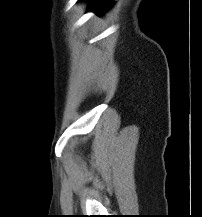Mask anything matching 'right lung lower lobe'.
Segmentation results:
<instances>
[{
	"label": "right lung lower lobe",
	"instance_id": "1",
	"mask_svg": "<svg viewBox=\"0 0 202 217\" xmlns=\"http://www.w3.org/2000/svg\"><path fill=\"white\" fill-rule=\"evenodd\" d=\"M94 3L90 7L89 10L95 7L94 12L96 14H101L103 13L112 3L109 2V0H93Z\"/></svg>",
	"mask_w": 202,
	"mask_h": 217
}]
</instances>
